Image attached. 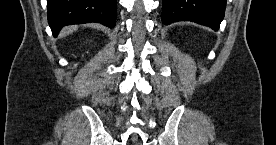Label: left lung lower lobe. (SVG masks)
Segmentation results:
<instances>
[{
	"mask_svg": "<svg viewBox=\"0 0 276 145\" xmlns=\"http://www.w3.org/2000/svg\"><path fill=\"white\" fill-rule=\"evenodd\" d=\"M226 0H163L162 22L169 25L187 20L219 29L224 18Z\"/></svg>",
	"mask_w": 276,
	"mask_h": 145,
	"instance_id": "left-lung-lower-lobe-1",
	"label": "left lung lower lobe"
}]
</instances>
